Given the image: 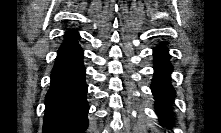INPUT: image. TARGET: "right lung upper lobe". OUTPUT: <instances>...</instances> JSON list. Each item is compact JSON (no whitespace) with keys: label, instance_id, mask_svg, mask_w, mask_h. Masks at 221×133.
Returning <instances> with one entry per match:
<instances>
[{"label":"right lung upper lobe","instance_id":"cb5924a9","mask_svg":"<svg viewBox=\"0 0 221 133\" xmlns=\"http://www.w3.org/2000/svg\"><path fill=\"white\" fill-rule=\"evenodd\" d=\"M76 36H79V35H78V32H76V31H69V32H67V34L65 35V39H66V38L76 37Z\"/></svg>","mask_w":221,"mask_h":133}]
</instances>
